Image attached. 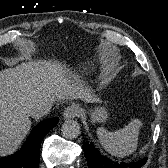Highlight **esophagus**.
Masks as SVG:
<instances>
[{"instance_id": "obj_1", "label": "esophagus", "mask_w": 168, "mask_h": 168, "mask_svg": "<svg viewBox=\"0 0 168 168\" xmlns=\"http://www.w3.org/2000/svg\"><path fill=\"white\" fill-rule=\"evenodd\" d=\"M82 109L79 105L72 104L65 108L63 112L64 119H72L81 115Z\"/></svg>"}]
</instances>
